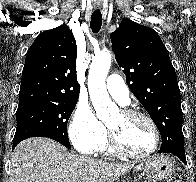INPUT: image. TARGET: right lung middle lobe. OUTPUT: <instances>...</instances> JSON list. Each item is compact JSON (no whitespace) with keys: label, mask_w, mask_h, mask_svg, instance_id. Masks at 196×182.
<instances>
[{"label":"right lung middle lobe","mask_w":196,"mask_h":182,"mask_svg":"<svg viewBox=\"0 0 196 182\" xmlns=\"http://www.w3.org/2000/svg\"><path fill=\"white\" fill-rule=\"evenodd\" d=\"M78 99L36 101L18 106L17 128L13 144L36 136H53L71 148L67 134V122Z\"/></svg>","instance_id":"right-lung-middle-lobe-1"}]
</instances>
